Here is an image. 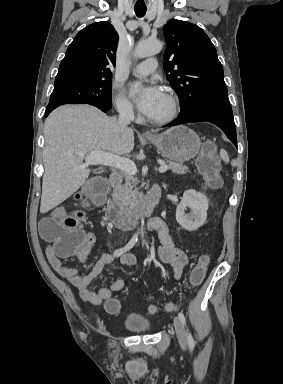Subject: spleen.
I'll list each match as a JSON object with an SVG mask.
<instances>
[{"label":"spleen","mask_w":283,"mask_h":384,"mask_svg":"<svg viewBox=\"0 0 283 384\" xmlns=\"http://www.w3.org/2000/svg\"><path fill=\"white\" fill-rule=\"evenodd\" d=\"M220 156H221L223 162H229V156H228L226 150H220Z\"/></svg>","instance_id":"3e777b00"}]
</instances>
